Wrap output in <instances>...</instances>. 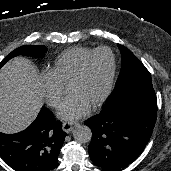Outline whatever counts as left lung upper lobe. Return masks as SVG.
Segmentation results:
<instances>
[{
	"label": "left lung upper lobe",
	"instance_id": "5c2ea615",
	"mask_svg": "<svg viewBox=\"0 0 171 171\" xmlns=\"http://www.w3.org/2000/svg\"><path fill=\"white\" fill-rule=\"evenodd\" d=\"M122 66L114 90L103 108L131 93L155 94L151 75L142 62L125 46L118 44Z\"/></svg>",
	"mask_w": 171,
	"mask_h": 171
}]
</instances>
